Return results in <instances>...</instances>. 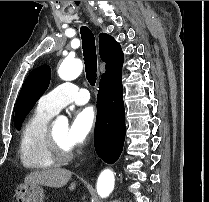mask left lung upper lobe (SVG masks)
<instances>
[{
  "instance_id": "5c2ea615",
  "label": "left lung upper lobe",
  "mask_w": 209,
  "mask_h": 202,
  "mask_svg": "<svg viewBox=\"0 0 209 202\" xmlns=\"http://www.w3.org/2000/svg\"><path fill=\"white\" fill-rule=\"evenodd\" d=\"M51 78V69L42 65L34 69L22 85L15 109V127L17 130L37 100L47 90Z\"/></svg>"
}]
</instances>
